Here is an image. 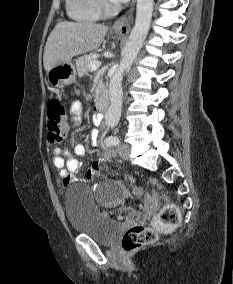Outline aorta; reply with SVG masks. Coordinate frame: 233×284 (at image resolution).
Masks as SVG:
<instances>
[{
    "mask_svg": "<svg viewBox=\"0 0 233 284\" xmlns=\"http://www.w3.org/2000/svg\"><path fill=\"white\" fill-rule=\"evenodd\" d=\"M153 4V0H137L135 25L123 49L119 67L110 78V106L105 116L108 127H115L120 120L123 100V75L137 57L148 34L152 19Z\"/></svg>",
    "mask_w": 233,
    "mask_h": 284,
    "instance_id": "aorta-1",
    "label": "aorta"
}]
</instances>
